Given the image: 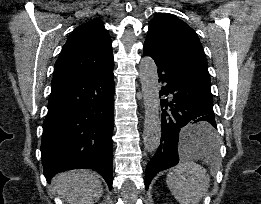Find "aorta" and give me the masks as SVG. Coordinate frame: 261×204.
I'll use <instances>...</instances> for the list:
<instances>
[{"label": "aorta", "mask_w": 261, "mask_h": 204, "mask_svg": "<svg viewBox=\"0 0 261 204\" xmlns=\"http://www.w3.org/2000/svg\"><path fill=\"white\" fill-rule=\"evenodd\" d=\"M139 77L145 106L143 143L145 149L152 153L160 145L161 117L157 66L151 57L142 58Z\"/></svg>", "instance_id": "aorta-1"}]
</instances>
